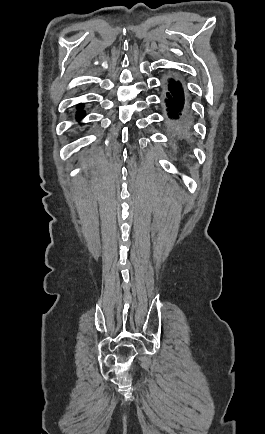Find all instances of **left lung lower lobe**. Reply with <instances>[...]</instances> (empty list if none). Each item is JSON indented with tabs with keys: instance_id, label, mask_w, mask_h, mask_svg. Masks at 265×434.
<instances>
[{
	"instance_id": "left-lung-lower-lobe-1",
	"label": "left lung lower lobe",
	"mask_w": 265,
	"mask_h": 434,
	"mask_svg": "<svg viewBox=\"0 0 265 434\" xmlns=\"http://www.w3.org/2000/svg\"><path fill=\"white\" fill-rule=\"evenodd\" d=\"M166 94L169 121L166 123L167 134L172 146L186 149L194 139V130L188 108L185 106V98L182 85L174 79L169 80Z\"/></svg>"
}]
</instances>
